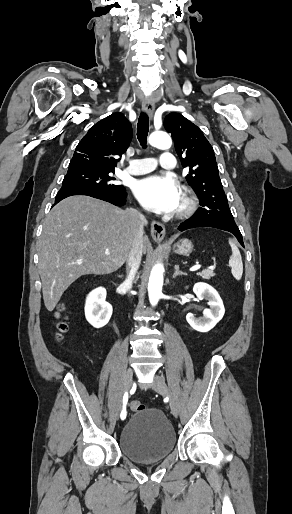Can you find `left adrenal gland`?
<instances>
[{
    "label": "left adrenal gland",
    "mask_w": 292,
    "mask_h": 514,
    "mask_svg": "<svg viewBox=\"0 0 292 514\" xmlns=\"http://www.w3.org/2000/svg\"><path fill=\"white\" fill-rule=\"evenodd\" d=\"M176 276H187L185 272H180L179 266H175V272L173 274V278H176Z\"/></svg>",
    "instance_id": "1"
}]
</instances>
